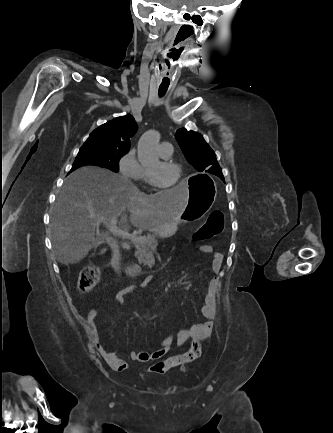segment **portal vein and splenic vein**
I'll use <instances>...</instances> for the list:
<instances>
[{"label": "portal vein and splenic vein", "mask_w": 333, "mask_h": 433, "mask_svg": "<svg viewBox=\"0 0 333 433\" xmlns=\"http://www.w3.org/2000/svg\"><path fill=\"white\" fill-rule=\"evenodd\" d=\"M117 223L116 219L110 220L109 222H105V224L109 227V230L112 234L116 236H121L123 239H128L133 242L145 243V237L132 236L127 231L121 230L115 226Z\"/></svg>", "instance_id": "1"}]
</instances>
